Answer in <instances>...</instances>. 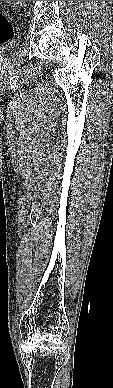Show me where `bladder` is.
Returning a JSON list of instances; mask_svg holds the SVG:
<instances>
[{"mask_svg":"<svg viewBox=\"0 0 113 388\" xmlns=\"http://www.w3.org/2000/svg\"><path fill=\"white\" fill-rule=\"evenodd\" d=\"M4 47L0 46V53L4 51Z\"/></svg>","mask_w":113,"mask_h":388,"instance_id":"31cf9c89","label":"bladder"}]
</instances>
